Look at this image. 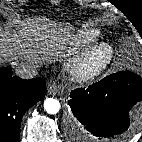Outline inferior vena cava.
<instances>
[{"label": "inferior vena cava", "mask_w": 142, "mask_h": 142, "mask_svg": "<svg viewBox=\"0 0 142 142\" xmlns=\"http://www.w3.org/2000/svg\"><path fill=\"white\" fill-rule=\"evenodd\" d=\"M16 74L22 79H32L37 75V69L33 62H24L16 67Z\"/></svg>", "instance_id": "1"}]
</instances>
